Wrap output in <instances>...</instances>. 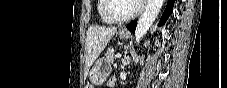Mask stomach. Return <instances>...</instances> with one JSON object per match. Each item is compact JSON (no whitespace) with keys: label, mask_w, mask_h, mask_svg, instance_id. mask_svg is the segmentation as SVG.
<instances>
[{"label":"stomach","mask_w":227,"mask_h":88,"mask_svg":"<svg viewBox=\"0 0 227 88\" xmlns=\"http://www.w3.org/2000/svg\"><path fill=\"white\" fill-rule=\"evenodd\" d=\"M120 39L126 40L130 37V33L127 31L119 32ZM108 76V71L103 65V61L101 59L97 60L94 66L89 71V79L94 85H101L104 83Z\"/></svg>","instance_id":"obj_1"}]
</instances>
